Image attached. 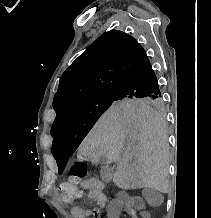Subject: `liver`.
<instances>
[{"label":"liver","instance_id":"1","mask_svg":"<svg viewBox=\"0 0 211 218\" xmlns=\"http://www.w3.org/2000/svg\"><path fill=\"white\" fill-rule=\"evenodd\" d=\"M155 110L112 104L83 140L78 158L118 162L113 182L122 190H168V142Z\"/></svg>","mask_w":211,"mask_h":218}]
</instances>
